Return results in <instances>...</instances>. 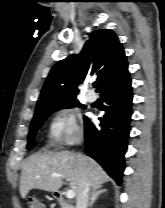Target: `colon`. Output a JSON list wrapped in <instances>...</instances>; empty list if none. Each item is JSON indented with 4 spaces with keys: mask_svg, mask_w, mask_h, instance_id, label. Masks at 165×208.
Masks as SVG:
<instances>
[{
    "mask_svg": "<svg viewBox=\"0 0 165 208\" xmlns=\"http://www.w3.org/2000/svg\"><path fill=\"white\" fill-rule=\"evenodd\" d=\"M29 208H44L42 203L37 199H31L28 203Z\"/></svg>",
    "mask_w": 165,
    "mask_h": 208,
    "instance_id": "5ec220e1",
    "label": "colon"
}]
</instances>
